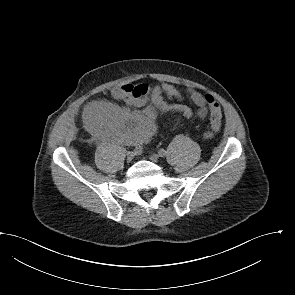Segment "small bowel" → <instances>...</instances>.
Segmentation results:
<instances>
[{
	"instance_id": "1",
	"label": "small bowel",
	"mask_w": 295,
	"mask_h": 295,
	"mask_svg": "<svg viewBox=\"0 0 295 295\" xmlns=\"http://www.w3.org/2000/svg\"><path fill=\"white\" fill-rule=\"evenodd\" d=\"M187 93L191 101L197 106L198 117L204 119L208 115L205 95L193 88ZM114 98L125 101L128 105L140 109L128 111L116 105L96 101L89 103L83 112V119L98 135L118 143H141L149 139L155 132L154 118L156 110L177 112L185 118L192 116V109L182 104H169L164 96L181 99L178 89L169 83L151 86L149 84H124L112 89ZM221 128V121L211 122L212 135Z\"/></svg>"
}]
</instances>
